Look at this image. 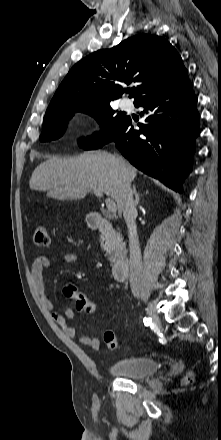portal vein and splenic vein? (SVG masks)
I'll return each instance as SVG.
<instances>
[{"instance_id": "portal-vein-and-splenic-vein-1", "label": "portal vein and splenic vein", "mask_w": 221, "mask_h": 440, "mask_svg": "<svg viewBox=\"0 0 221 440\" xmlns=\"http://www.w3.org/2000/svg\"><path fill=\"white\" fill-rule=\"evenodd\" d=\"M94 194H95L97 197H103V193L100 192V191H94ZM105 202H106V207H107L108 211H109L110 213H113V214L116 213L117 208H116V204H115L114 200H113V199H110V198H107V199L105 200Z\"/></svg>"}]
</instances>
